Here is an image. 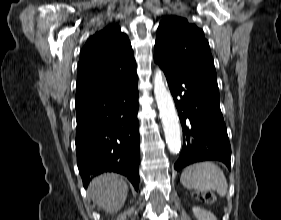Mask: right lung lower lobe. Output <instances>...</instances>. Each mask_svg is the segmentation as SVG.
<instances>
[{
    "label": "right lung lower lobe",
    "mask_w": 281,
    "mask_h": 220,
    "mask_svg": "<svg viewBox=\"0 0 281 220\" xmlns=\"http://www.w3.org/2000/svg\"><path fill=\"white\" fill-rule=\"evenodd\" d=\"M137 83L76 106L77 164L84 187L94 176L117 172L138 190Z\"/></svg>",
    "instance_id": "right-lung-lower-lobe-1"
}]
</instances>
